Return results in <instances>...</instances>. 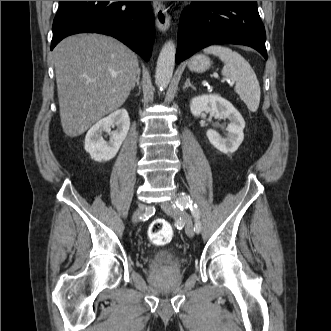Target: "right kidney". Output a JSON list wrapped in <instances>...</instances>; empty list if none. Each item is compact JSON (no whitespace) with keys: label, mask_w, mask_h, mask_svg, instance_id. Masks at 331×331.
<instances>
[{"label":"right kidney","mask_w":331,"mask_h":331,"mask_svg":"<svg viewBox=\"0 0 331 331\" xmlns=\"http://www.w3.org/2000/svg\"><path fill=\"white\" fill-rule=\"evenodd\" d=\"M117 127L110 135L109 141L102 137L103 132H109L111 127ZM130 119L125 109L117 110L93 125L85 137V150L97 162L113 159L127 137Z\"/></svg>","instance_id":"obj_1"}]
</instances>
